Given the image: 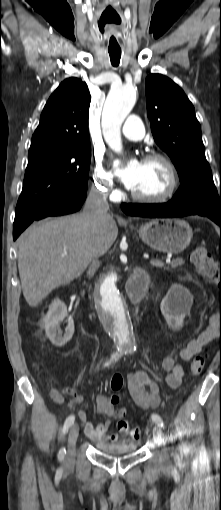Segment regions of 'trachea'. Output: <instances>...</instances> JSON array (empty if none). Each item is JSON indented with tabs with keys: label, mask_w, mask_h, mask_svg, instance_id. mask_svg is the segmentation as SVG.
I'll use <instances>...</instances> for the list:
<instances>
[{
	"label": "trachea",
	"mask_w": 221,
	"mask_h": 510,
	"mask_svg": "<svg viewBox=\"0 0 221 510\" xmlns=\"http://www.w3.org/2000/svg\"><path fill=\"white\" fill-rule=\"evenodd\" d=\"M111 64L117 67L120 63L121 52H109Z\"/></svg>",
	"instance_id": "obj_1"
}]
</instances>
